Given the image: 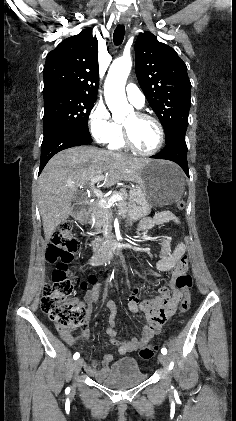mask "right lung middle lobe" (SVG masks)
<instances>
[{"instance_id": "right-lung-middle-lobe-1", "label": "right lung middle lobe", "mask_w": 236, "mask_h": 421, "mask_svg": "<svg viewBox=\"0 0 236 421\" xmlns=\"http://www.w3.org/2000/svg\"><path fill=\"white\" fill-rule=\"evenodd\" d=\"M44 136L57 129H66L91 137L88 130V116L96 97L65 90L43 91Z\"/></svg>"}]
</instances>
